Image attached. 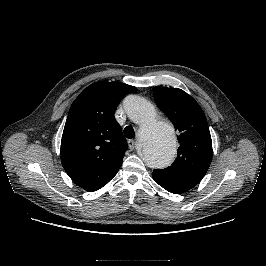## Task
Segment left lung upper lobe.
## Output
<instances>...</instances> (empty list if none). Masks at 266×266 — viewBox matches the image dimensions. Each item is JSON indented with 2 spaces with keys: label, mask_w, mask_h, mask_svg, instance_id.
<instances>
[{
  "label": "left lung upper lobe",
  "mask_w": 266,
  "mask_h": 266,
  "mask_svg": "<svg viewBox=\"0 0 266 266\" xmlns=\"http://www.w3.org/2000/svg\"><path fill=\"white\" fill-rule=\"evenodd\" d=\"M157 106L180 132L178 156L165 169L152 176L182 190L196 186L205 176L212 160V140L208 123L199 104L178 88L155 87Z\"/></svg>",
  "instance_id": "obj_1"
}]
</instances>
